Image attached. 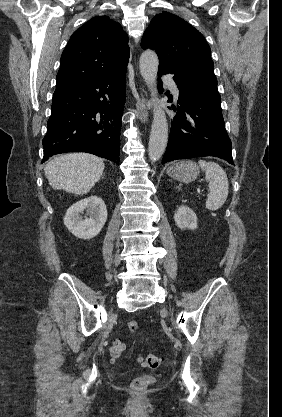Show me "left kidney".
I'll use <instances>...</instances> for the list:
<instances>
[{
  "label": "left kidney",
  "instance_id": "left-kidney-1",
  "mask_svg": "<svg viewBox=\"0 0 282 417\" xmlns=\"http://www.w3.org/2000/svg\"><path fill=\"white\" fill-rule=\"evenodd\" d=\"M174 221L179 229H197V215L187 204H181L174 215Z\"/></svg>",
  "mask_w": 282,
  "mask_h": 417
}]
</instances>
